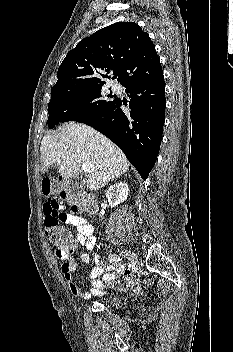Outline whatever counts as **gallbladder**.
<instances>
[{
	"label": "gallbladder",
	"instance_id": "obj_1",
	"mask_svg": "<svg viewBox=\"0 0 233 352\" xmlns=\"http://www.w3.org/2000/svg\"><path fill=\"white\" fill-rule=\"evenodd\" d=\"M84 184L85 182L83 180H72L68 183L67 188L72 195H75L83 189Z\"/></svg>",
	"mask_w": 233,
	"mask_h": 352
}]
</instances>
